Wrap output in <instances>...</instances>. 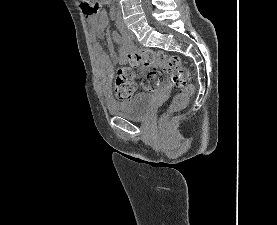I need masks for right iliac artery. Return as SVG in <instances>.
Segmentation results:
<instances>
[{"instance_id":"right-iliac-artery-1","label":"right iliac artery","mask_w":277,"mask_h":225,"mask_svg":"<svg viewBox=\"0 0 277 225\" xmlns=\"http://www.w3.org/2000/svg\"><path fill=\"white\" fill-rule=\"evenodd\" d=\"M121 39H122V41L124 42V44H126V45H131L132 44V41H131V39L129 38V37H127V36H122L121 37Z\"/></svg>"}]
</instances>
